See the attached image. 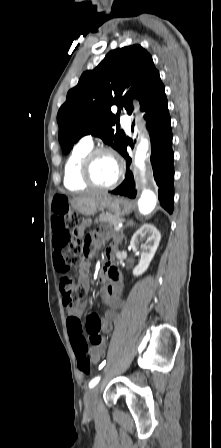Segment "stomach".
Masks as SVG:
<instances>
[{
  "mask_svg": "<svg viewBox=\"0 0 221 448\" xmlns=\"http://www.w3.org/2000/svg\"><path fill=\"white\" fill-rule=\"evenodd\" d=\"M74 208L85 216L93 215L97 209H107L115 216L121 217L129 214L133 210V205L128 199L113 197L104 193L87 202H75Z\"/></svg>",
  "mask_w": 221,
  "mask_h": 448,
  "instance_id": "obj_1",
  "label": "stomach"
}]
</instances>
